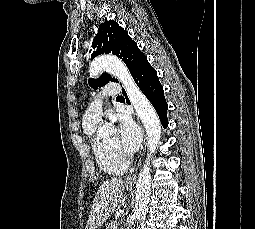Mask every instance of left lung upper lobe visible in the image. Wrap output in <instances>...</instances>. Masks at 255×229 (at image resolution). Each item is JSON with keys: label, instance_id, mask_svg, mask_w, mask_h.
I'll list each match as a JSON object with an SVG mask.
<instances>
[{"label": "left lung upper lobe", "instance_id": "1", "mask_svg": "<svg viewBox=\"0 0 255 229\" xmlns=\"http://www.w3.org/2000/svg\"><path fill=\"white\" fill-rule=\"evenodd\" d=\"M92 47L91 59L100 54L112 53L124 61L131 74L144 55L129 37L127 31L113 20L105 21L99 25L98 34L93 39ZM109 81L118 82L109 74L103 73L98 79H89V85L97 89Z\"/></svg>", "mask_w": 255, "mask_h": 229}]
</instances>
